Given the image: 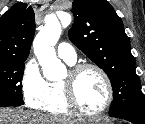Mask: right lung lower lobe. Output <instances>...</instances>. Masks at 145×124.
<instances>
[{"mask_svg": "<svg viewBox=\"0 0 145 124\" xmlns=\"http://www.w3.org/2000/svg\"><path fill=\"white\" fill-rule=\"evenodd\" d=\"M23 104L24 102L21 100L0 101V107L20 106Z\"/></svg>", "mask_w": 145, "mask_h": 124, "instance_id": "obj_1", "label": "right lung lower lobe"}]
</instances>
